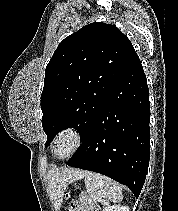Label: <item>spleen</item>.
<instances>
[{
  "label": "spleen",
  "instance_id": "obj_1",
  "mask_svg": "<svg viewBox=\"0 0 178 211\" xmlns=\"http://www.w3.org/2000/svg\"><path fill=\"white\" fill-rule=\"evenodd\" d=\"M83 177L86 190L93 200L104 205L122 200V188L111 178L95 172H85Z\"/></svg>",
  "mask_w": 178,
  "mask_h": 211
}]
</instances>
